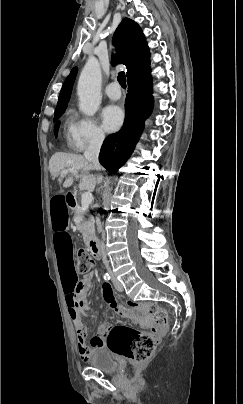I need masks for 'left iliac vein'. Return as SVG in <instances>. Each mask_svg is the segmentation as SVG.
I'll return each mask as SVG.
<instances>
[{
	"instance_id": "1",
	"label": "left iliac vein",
	"mask_w": 243,
	"mask_h": 404,
	"mask_svg": "<svg viewBox=\"0 0 243 404\" xmlns=\"http://www.w3.org/2000/svg\"><path fill=\"white\" fill-rule=\"evenodd\" d=\"M111 275H112V281H113V284H114L116 290H118L120 292L123 291L124 288H123V285L121 284V282L116 279V277L114 276L113 273Z\"/></svg>"
}]
</instances>
